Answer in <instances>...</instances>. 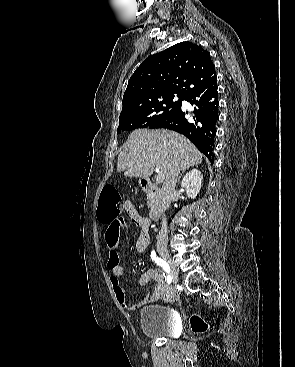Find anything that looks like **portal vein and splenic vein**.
Segmentation results:
<instances>
[{"label":"portal vein and splenic vein","mask_w":295,"mask_h":367,"mask_svg":"<svg viewBox=\"0 0 295 367\" xmlns=\"http://www.w3.org/2000/svg\"><path fill=\"white\" fill-rule=\"evenodd\" d=\"M156 172H157L156 182L157 183L163 182L164 181V174H162V172L159 169H157Z\"/></svg>","instance_id":"1"}]
</instances>
